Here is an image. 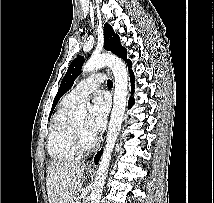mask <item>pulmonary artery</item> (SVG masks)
<instances>
[{
    "mask_svg": "<svg viewBox=\"0 0 214 203\" xmlns=\"http://www.w3.org/2000/svg\"><path fill=\"white\" fill-rule=\"evenodd\" d=\"M105 80L104 74L98 73L91 75L79 82L67 96L70 100L78 103L95 91Z\"/></svg>",
    "mask_w": 214,
    "mask_h": 203,
    "instance_id": "1",
    "label": "pulmonary artery"
}]
</instances>
